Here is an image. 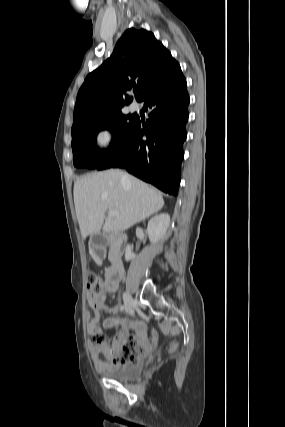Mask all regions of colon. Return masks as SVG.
Listing matches in <instances>:
<instances>
[{"instance_id": "obj_1", "label": "colon", "mask_w": 285, "mask_h": 427, "mask_svg": "<svg viewBox=\"0 0 285 427\" xmlns=\"http://www.w3.org/2000/svg\"><path fill=\"white\" fill-rule=\"evenodd\" d=\"M86 284L87 289L91 294H100L106 289L104 281L93 271H88ZM96 342L102 347H106L103 337H97ZM145 351L146 348L136 337H130L126 344L121 348V352L118 356V362L122 364L136 362L145 353Z\"/></svg>"}]
</instances>
